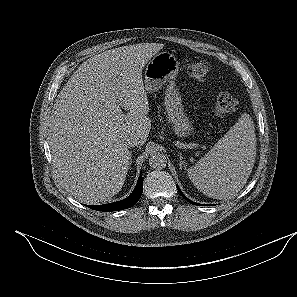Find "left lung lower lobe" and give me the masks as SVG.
<instances>
[{
  "mask_svg": "<svg viewBox=\"0 0 297 297\" xmlns=\"http://www.w3.org/2000/svg\"><path fill=\"white\" fill-rule=\"evenodd\" d=\"M178 190H179V192H180V194L188 201V202H190L191 204H193V205H200V206H203L202 204H198V203H195V202H192L191 200H189L188 198H186L185 196H184V194L181 192V190L178 188Z\"/></svg>",
  "mask_w": 297,
  "mask_h": 297,
  "instance_id": "left-lung-lower-lobe-1",
  "label": "left lung lower lobe"
}]
</instances>
